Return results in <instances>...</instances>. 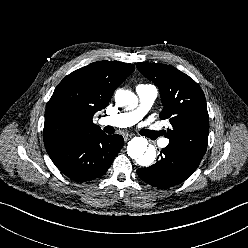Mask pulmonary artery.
Returning a JSON list of instances; mask_svg holds the SVG:
<instances>
[{
    "label": "pulmonary artery",
    "mask_w": 248,
    "mask_h": 248,
    "mask_svg": "<svg viewBox=\"0 0 248 248\" xmlns=\"http://www.w3.org/2000/svg\"><path fill=\"white\" fill-rule=\"evenodd\" d=\"M136 91L140 100V105L136 110L114 116L103 117L99 120V123L103 126L124 128L132 126L142 119V117L153 105L158 95V91L153 85H139L136 88ZM168 143L169 141L167 139H163L161 141V146L166 147Z\"/></svg>",
    "instance_id": "1"
}]
</instances>
